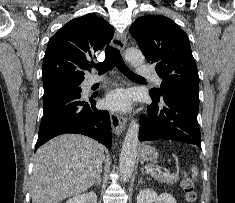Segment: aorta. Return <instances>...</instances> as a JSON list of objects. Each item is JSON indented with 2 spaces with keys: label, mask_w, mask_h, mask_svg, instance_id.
I'll use <instances>...</instances> for the list:
<instances>
[{
  "label": "aorta",
  "mask_w": 235,
  "mask_h": 203,
  "mask_svg": "<svg viewBox=\"0 0 235 203\" xmlns=\"http://www.w3.org/2000/svg\"><path fill=\"white\" fill-rule=\"evenodd\" d=\"M126 60L134 67L144 63V56L137 49H127ZM139 137V124L133 120L126 132L119 158L120 174L123 181H128L132 175L137 155Z\"/></svg>",
  "instance_id": "1"
}]
</instances>
